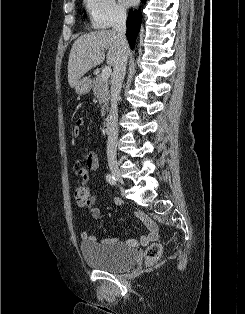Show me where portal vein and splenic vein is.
<instances>
[{
  "mask_svg": "<svg viewBox=\"0 0 245 314\" xmlns=\"http://www.w3.org/2000/svg\"><path fill=\"white\" fill-rule=\"evenodd\" d=\"M111 75V67L110 66H105L103 69H102V73H101V78L103 81H107L108 78L110 77Z\"/></svg>",
  "mask_w": 245,
  "mask_h": 314,
  "instance_id": "portal-vein-and-splenic-vein-1",
  "label": "portal vein and splenic vein"
}]
</instances>
